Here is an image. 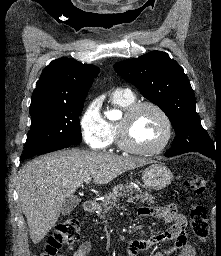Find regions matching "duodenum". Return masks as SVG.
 Masks as SVG:
<instances>
[{
  "label": "duodenum",
  "mask_w": 221,
  "mask_h": 256,
  "mask_svg": "<svg viewBox=\"0 0 221 256\" xmlns=\"http://www.w3.org/2000/svg\"><path fill=\"white\" fill-rule=\"evenodd\" d=\"M83 209L86 212H93L96 209V202L94 200H86L83 203Z\"/></svg>",
  "instance_id": "1"
}]
</instances>
